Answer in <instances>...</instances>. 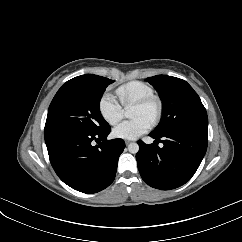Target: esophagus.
Returning a JSON list of instances; mask_svg holds the SVG:
<instances>
[{
  "mask_svg": "<svg viewBox=\"0 0 242 242\" xmlns=\"http://www.w3.org/2000/svg\"><path fill=\"white\" fill-rule=\"evenodd\" d=\"M125 143H126V145H128L130 143V141L127 140V141H125Z\"/></svg>",
  "mask_w": 242,
  "mask_h": 242,
  "instance_id": "obj_1",
  "label": "esophagus"
}]
</instances>
